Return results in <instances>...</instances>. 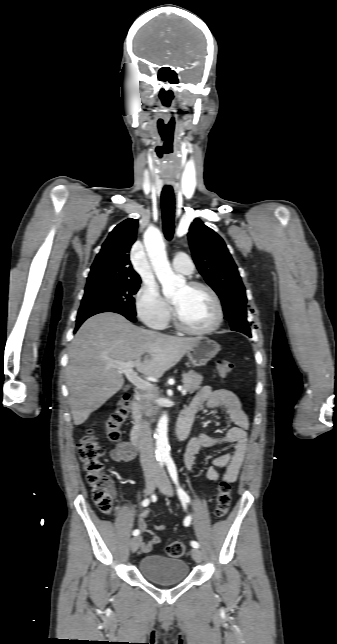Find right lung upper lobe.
<instances>
[{
  "label": "right lung upper lobe",
  "instance_id": "cb5924a9",
  "mask_svg": "<svg viewBox=\"0 0 337 644\" xmlns=\"http://www.w3.org/2000/svg\"><path fill=\"white\" fill-rule=\"evenodd\" d=\"M137 228L138 220L129 218L110 232L91 266L87 282L140 280L132 268L128 254L136 240Z\"/></svg>",
  "mask_w": 337,
  "mask_h": 644
}]
</instances>
